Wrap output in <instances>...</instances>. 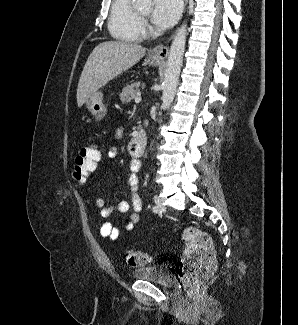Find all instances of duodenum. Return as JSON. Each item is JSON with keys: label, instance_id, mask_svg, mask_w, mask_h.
<instances>
[{"label": "duodenum", "instance_id": "duodenum-1", "mask_svg": "<svg viewBox=\"0 0 298 325\" xmlns=\"http://www.w3.org/2000/svg\"><path fill=\"white\" fill-rule=\"evenodd\" d=\"M146 146V134L143 130L138 131L131 139L128 149L132 156L140 157Z\"/></svg>", "mask_w": 298, "mask_h": 325}]
</instances>
